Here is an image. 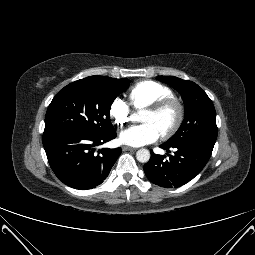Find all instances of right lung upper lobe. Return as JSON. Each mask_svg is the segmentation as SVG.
I'll return each mask as SVG.
<instances>
[{
    "instance_id": "1",
    "label": "right lung upper lobe",
    "mask_w": 255,
    "mask_h": 255,
    "mask_svg": "<svg viewBox=\"0 0 255 255\" xmlns=\"http://www.w3.org/2000/svg\"><path fill=\"white\" fill-rule=\"evenodd\" d=\"M106 76H90V77H87L85 79H103L105 78Z\"/></svg>"
}]
</instances>
